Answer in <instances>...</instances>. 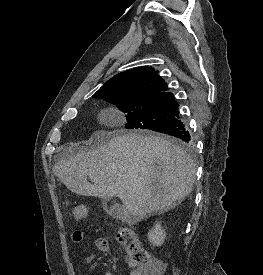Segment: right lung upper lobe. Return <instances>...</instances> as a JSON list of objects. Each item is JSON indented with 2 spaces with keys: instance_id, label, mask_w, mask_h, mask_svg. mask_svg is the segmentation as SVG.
Masks as SVG:
<instances>
[{
  "instance_id": "cb5924a9",
  "label": "right lung upper lobe",
  "mask_w": 263,
  "mask_h": 275,
  "mask_svg": "<svg viewBox=\"0 0 263 275\" xmlns=\"http://www.w3.org/2000/svg\"><path fill=\"white\" fill-rule=\"evenodd\" d=\"M123 91L134 96H173L158 73L149 67H138L121 72L108 80L94 95Z\"/></svg>"
}]
</instances>
